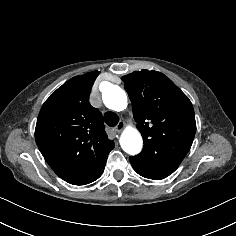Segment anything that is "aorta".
Masks as SVG:
<instances>
[{
  "mask_svg": "<svg viewBox=\"0 0 236 236\" xmlns=\"http://www.w3.org/2000/svg\"><path fill=\"white\" fill-rule=\"evenodd\" d=\"M102 99L105 106L114 111H122L127 107V95L117 85L109 84L103 91ZM120 144L126 153L136 155L142 150L143 140L137 129L127 127L121 134Z\"/></svg>",
  "mask_w": 236,
  "mask_h": 236,
  "instance_id": "obj_1",
  "label": "aorta"
}]
</instances>
